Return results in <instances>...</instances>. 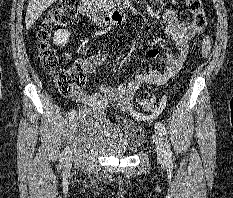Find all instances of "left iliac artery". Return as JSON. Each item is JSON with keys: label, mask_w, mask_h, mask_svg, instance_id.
<instances>
[{"label": "left iliac artery", "mask_w": 233, "mask_h": 198, "mask_svg": "<svg viewBox=\"0 0 233 198\" xmlns=\"http://www.w3.org/2000/svg\"><path fill=\"white\" fill-rule=\"evenodd\" d=\"M155 128L158 129L159 131L162 132V134L164 136H166V139H167V131H166V128L165 126L161 123V122H156L155 123ZM166 149H165V154H166V159L169 163L172 162V152H171V149H170V144L168 143V141L166 140Z\"/></svg>", "instance_id": "44dca946"}]
</instances>
